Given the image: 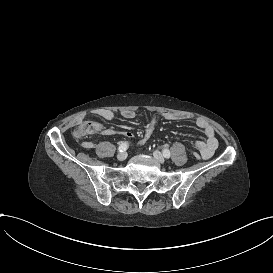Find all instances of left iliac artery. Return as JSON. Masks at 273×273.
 I'll return each mask as SVG.
<instances>
[{
    "label": "left iliac artery",
    "instance_id": "obj_1",
    "mask_svg": "<svg viewBox=\"0 0 273 273\" xmlns=\"http://www.w3.org/2000/svg\"><path fill=\"white\" fill-rule=\"evenodd\" d=\"M163 156L165 158H169L170 157V151L168 149L163 150Z\"/></svg>",
    "mask_w": 273,
    "mask_h": 273
}]
</instances>
